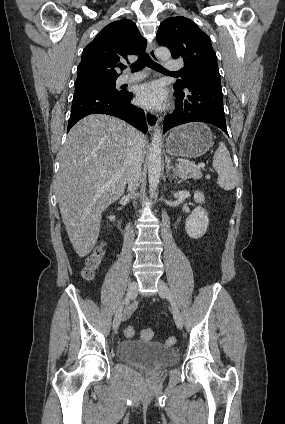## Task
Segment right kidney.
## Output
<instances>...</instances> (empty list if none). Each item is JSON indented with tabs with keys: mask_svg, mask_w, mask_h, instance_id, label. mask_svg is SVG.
<instances>
[{
	"mask_svg": "<svg viewBox=\"0 0 285 424\" xmlns=\"http://www.w3.org/2000/svg\"><path fill=\"white\" fill-rule=\"evenodd\" d=\"M109 220H110V221H115V217H114V216H110V217H109Z\"/></svg>",
	"mask_w": 285,
	"mask_h": 424,
	"instance_id": "obj_1",
	"label": "right kidney"
}]
</instances>
